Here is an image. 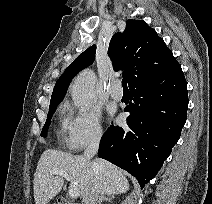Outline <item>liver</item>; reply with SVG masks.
Wrapping results in <instances>:
<instances>
[{"mask_svg": "<svg viewBox=\"0 0 212 204\" xmlns=\"http://www.w3.org/2000/svg\"><path fill=\"white\" fill-rule=\"evenodd\" d=\"M53 169L70 174V187L79 190L83 197L91 189L101 195H117L129 190L128 180L121 169L110 162L96 158L86 160L83 156L47 149L41 155L34 174L35 204H48L62 189L63 176H51Z\"/></svg>", "mask_w": 212, "mask_h": 204, "instance_id": "6515ba94", "label": "liver"}]
</instances>
